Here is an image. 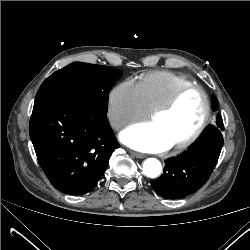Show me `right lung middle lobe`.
I'll return each mask as SVG.
<instances>
[{"mask_svg":"<svg viewBox=\"0 0 250 250\" xmlns=\"http://www.w3.org/2000/svg\"><path fill=\"white\" fill-rule=\"evenodd\" d=\"M122 71L87 63H72L49 76L40 86L36 100L66 97L107 112L108 94Z\"/></svg>","mask_w":250,"mask_h":250,"instance_id":"right-lung-middle-lobe-1","label":"right lung middle lobe"}]
</instances>
